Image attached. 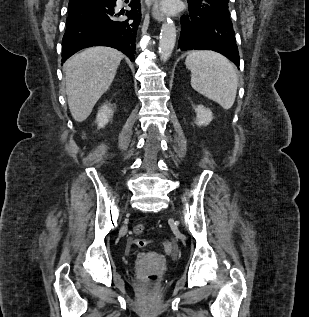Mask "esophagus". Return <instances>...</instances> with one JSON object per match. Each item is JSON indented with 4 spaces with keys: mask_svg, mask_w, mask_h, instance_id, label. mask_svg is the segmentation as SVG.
I'll list each match as a JSON object with an SVG mask.
<instances>
[{
    "mask_svg": "<svg viewBox=\"0 0 309 317\" xmlns=\"http://www.w3.org/2000/svg\"><path fill=\"white\" fill-rule=\"evenodd\" d=\"M151 13L155 20L159 22L164 20L165 16L161 9V0H154Z\"/></svg>",
    "mask_w": 309,
    "mask_h": 317,
    "instance_id": "obj_1",
    "label": "esophagus"
}]
</instances>
